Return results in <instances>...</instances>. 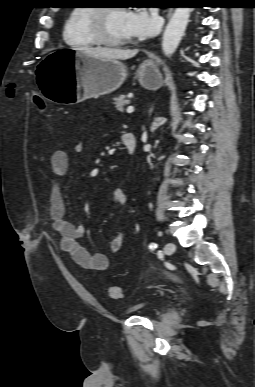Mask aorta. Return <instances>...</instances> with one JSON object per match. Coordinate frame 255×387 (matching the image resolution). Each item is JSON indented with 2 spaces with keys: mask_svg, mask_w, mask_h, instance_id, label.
I'll return each instance as SVG.
<instances>
[{
  "mask_svg": "<svg viewBox=\"0 0 255 387\" xmlns=\"http://www.w3.org/2000/svg\"><path fill=\"white\" fill-rule=\"evenodd\" d=\"M190 8L177 7L164 31L162 51L171 56L177 49L189 22Z\"/></svg>",
  "mask_w": 255,
  "mask_h": 387,
  "instance_id": "aorta-1",
  "label": "aorta"
}]
</instances>
